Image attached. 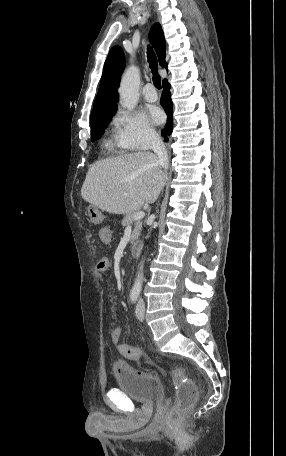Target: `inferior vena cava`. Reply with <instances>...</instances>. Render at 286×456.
Returning <instances> with one entry per match:
<instances>
[{
	"label": "inferior vena cava",
	"instance_id": "inferior-vena-cava-1",
	"mask_svg": "<svg viewBox=\"0 0 286 456\" xmlns=\"http://www.w3.org/2000/svg\"><path fill=\"white\" fill-rule=\"evenodd\" d=\"M150 144L154 153L157 155L158 162L161 166L166 167L167 165V152L161 137L153 132L150 134Z\"/></svg>",
	"mask_w": 286,
	"mask_h": 456
}]
</instances>
